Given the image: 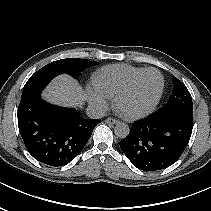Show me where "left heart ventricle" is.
Returning a JSON list of instances; mask_svg holds the SVG:
<instances>
[{
    "mask_svg": "<svg viewBox=\"0 0 211 211\" xmlns=\"http://www.w3.org/2000/svg\"><path fill=\"white\" fill-rule=\"evenodd\" d=\"M161 87V77L156 72H149L137 83L134 90L120 103L126 112H138L148 108L155 100Z\"/></svg>",
    "mask_w": 211,
    "mask_h": 211,
    "instance_id": "obj_1",
    "label": "left heart ventricle"
}]
</instances>
